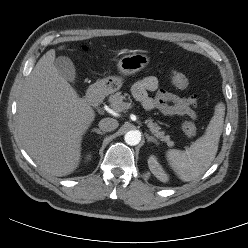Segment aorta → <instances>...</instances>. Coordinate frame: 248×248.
I'll return each mask as SVG.
<instances>
[{"instance_id": "762f6f07", "label": "aorta", "mask_w": 248, "mask_h": 248, "mask_svg": "<svg viewBox=\"0 0 248 248\" xmlns=\"http://www.w3.org/2000/svg\"><path fill=\"white\" fill-rule=\"evenodd\" d=\"M125 142L130 146H135L141 141V134L137 130L128 131L124 136Z\"/></svg>"}]
</instances>
